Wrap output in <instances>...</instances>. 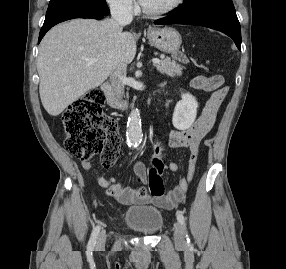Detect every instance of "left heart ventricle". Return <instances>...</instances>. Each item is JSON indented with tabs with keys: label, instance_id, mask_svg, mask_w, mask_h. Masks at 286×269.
<instances>
[{
	"label": "left heart ventricle",
	"instance_id": "1",
	"mask_svg": "<svg viewBox=\"0 0 286 269\" xmlns=\"http://www.w3.org/2000/svg\"><path fill=\"white\" fill-rule=\"evenodd\" d=\"M173 0H141V3L150 10H159L168 6Z\"/></svg>",
	"mask_w": 286,
	"mask_h": 269
}]
</instances>
